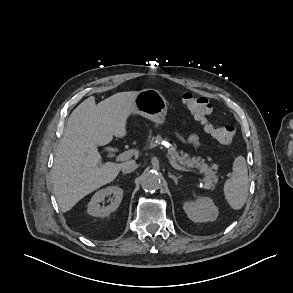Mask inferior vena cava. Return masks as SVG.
Listing matches in <instances>:
<instances>
[{
	"label": "inferior vena cava",
	"mask_w": 293,
	"mask_h": 293,
	"mask_svg": "<svg viewBox=\"0 0 293 293\" xmlns=\"http://www.w3.org/2000/svg\"><path fill=\"white\" fill-rule=\"evenodd\" d=\"M138 167V164L134 160L127 161L122 163L121 170L124 174L133 172Z\"/></svg>",
	"instance_id": "inferior-vena-cava-1"
}]
</instances>
